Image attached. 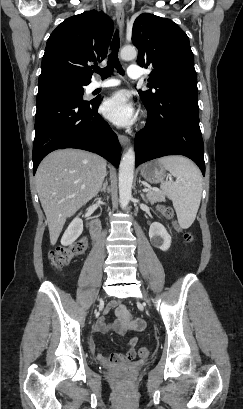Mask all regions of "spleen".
Returning <instances> with one entry per match:
<instances>
[{
  "label": "spleen",
  "mask_w": 243,
  "mask_h": 409,
  "mask_svg": "<svg viewBox=\"0 0 243 409\" xmlns=\"http://www.w3.org/2000/svg\"><path fill=\"white\" fill-rule=\"evenodd\" d=\"M158 161L177 179V182H162L160 187L173 202L180 227L189 228L201 201L202 175L189 159L182 156L163 157Z\"/></svg>",
  "instance_id": "obj_1"
}]
</instances>
